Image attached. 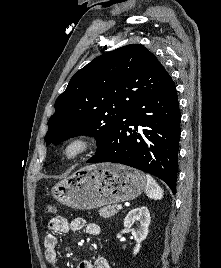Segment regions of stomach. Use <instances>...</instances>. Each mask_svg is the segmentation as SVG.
I'll return each mask as SVG.
<instances>
[{"label":"stomach","instance_id":"0dacf381","mask_svg":"<svg viewBox=\"0 0 221 268\" xmlns=\"http://www.w3.org/2000/svg\"><path fill=\"white\" fill-rule=\"evenodd\" d=\"M146 189L144 173L101 163L80 168L52 188L53 197L73 209L88 210L132 200Z\"/></svg>","mask_w":221,"mask_h":268}]
</instances>
